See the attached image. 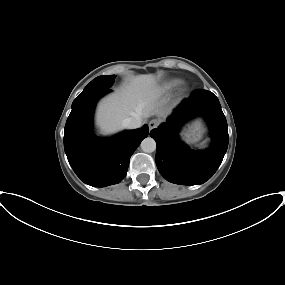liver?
Returning a JSON list of instances; mask_svg holds the SVG:
<instances>
[{
	"instance_id": "liver-1",
	"label": "liver",
	"mask_w": 285,
	"mask_h": 285,
	"mask_svg": "<svg viewBox=\"0 0 285 285\" xmlns=\"http://www.w3.org/2000/svg\"><path fill=\"white\" fill-rule=\"evenodd\" d=\"M160 91L152 74L131 78L98 104L97 125L104 134H110L121 130L123 120L128 117L138 116L143 120L154 114L162 115L158 110Z\"/></svg>"
}]
</instances>
